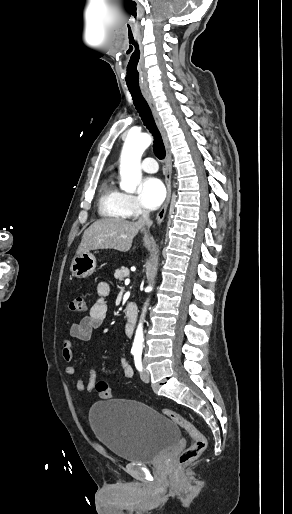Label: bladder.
<instances>
[{"mask_svg": "<svg viewBox=\"0 0 292 514\" xmlns=\"http://www.w3.org/2000/svg\"><path fill=\"white\" fill-rule=\"evenodd\" d=\"M93 432L116 458L147 464L162 457L180 438L176 423L134 400L97 402L88 414Z\"/></svg>", "mask_w": 292, "mask_h": 514, "instance_id": "obj_1", "label": "bladder"}]
</instances>
